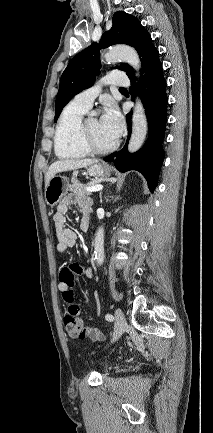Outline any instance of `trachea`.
<instances>
[{
  "label": "trachea",
  "mask_w": 213,
  "mask_h": 433,
  "mask_svg": "<svg viewBox=\"0 0 213 433\" xmlns=\"http://www.w3.org/2000/svg\"><path fill=\"white\" fill-rule=\"evenodd\" d=\"M120 90H125V88H120Z\"/></svg>",
  "instance_id": "obj_1"
}]
</instances>
